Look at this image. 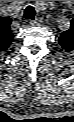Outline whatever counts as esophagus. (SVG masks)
Instances as JSON below:
<instances>
[{"label": "esophagus", "instance_id": "34e87169", "mask_svg": "<svg viewBox=\"0 0 74 122\" xmlns=\"http://www.w3.org/2000/svg\"><path fill=\"white\" fill-rule=\"evenodd\" d=\"M42 23V19L40 17H36L33 21L30 22L31 25H40Z\"/></svg>", "mask_w": 74, "mask_h": 122}]
</instances>
